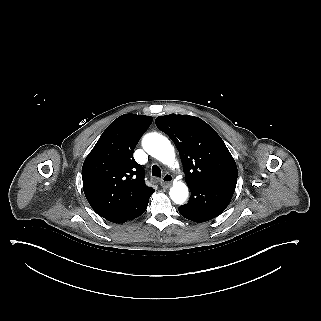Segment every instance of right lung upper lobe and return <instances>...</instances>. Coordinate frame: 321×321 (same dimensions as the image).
I'll list each match as a JSON object with an SVG mask.
<instances>
[{
    "label": "right lung upper lobe",
    "mask_w": 321,
    "mask_h": 321,
    "mask_svg": "<svg viewBox=\"0 0 321 321\" xmlns=\"http://www.w3.org/2000/svg\"><path fill=\"white\" fill-rule=\"evenodd\" d=\"M152 117L124 114L102 133L82 167L85 196L100 215L119 211L153 191L144 170L133 158L134 149Z\"/></svg>",
    "instance_id": "obj_1"
}]
</instances>
